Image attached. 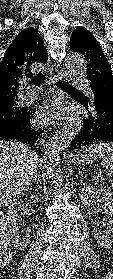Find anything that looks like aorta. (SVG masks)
Wrapping results in <instances>:
<instances>
[{
    "label": "aorta",
    "instance_id": "obj_1",
    "mask_svg": "<svg viewBox=\"0 0 113 279\" xmlns=\"http://www.w3.org/2000/svg\"><path fill=\"white\" fill-rule=\"evenodd\" d=\"M66 69L75 76L85 77L87 62L78 53H68ZM83 128L80 116H74L69 123L60 129L47 145L44 154V169L55 184L62 181L60 153L66 149Z\"/></svg>",
    "mask_w": 113,
    "mask_h": 279
}]
</instances>
